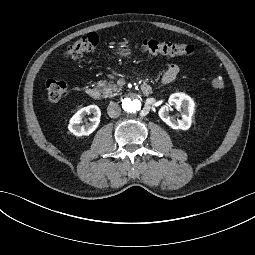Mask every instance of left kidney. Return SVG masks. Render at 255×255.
Returning <instances> with one entry per match:
<instances>
[{
  "mask_svg": "<svg viewBox=\"0 0 255 255\" xmlns=\"http://www.w3.org/2000/svg\"><path fill=\"white\" fill-rule=\"evenodd\" d=\"M171 106L183 109L182 119H176L169 115ZM195 103L193 99L185 93H173L170 95L168 104L161 107L159 117L172 129L188 130L192 123Z\"/></svg>",
  "mask_w": 255,
  "mask_h": 255,
  "instance_id": "obj_1",
  "label": "left kidney"
}]
</instances>
